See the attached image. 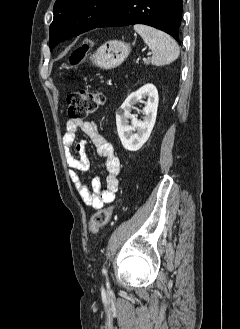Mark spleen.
Segmentation results:
<instances>
[{
  "instance_id": "3e777b00",
  "label": "spleen",
  "mask_w": 240,
  "mask_h": 329,
  "mask_svg": "<svg viewBox=\"0 0 240 329\" xmlns=\"http://www.w3.org/2000/svg\"><path fill=\"white\" fill-rule=\"evenodd\" d=\"M134 30L153 51V56L151 58V63L153 65H166L178 58L180 53L179 46L168 34L142 24L134 25Z\"/></svg>"
}]
</instances>
